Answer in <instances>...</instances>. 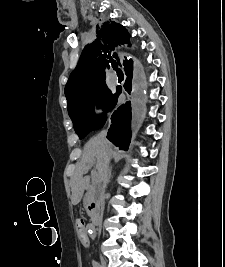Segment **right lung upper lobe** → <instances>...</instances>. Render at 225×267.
Wrapping results in <instances>:
<instances>
[{"label":"right lung upper lobe","mask_w":225,"mask_h":267,"mask_svg":"<svg viewBox=\"0 0 225 267\" xmlns=\"http://www.w3.org/2000/svg\"><path fill=\"white\" fill-rule=\"evenodd\" d=\"M122 44H129L127 30L115 22H104L97 31V39L84 48L77 67L68 79L65 86L68 104L79 99L91 87L105 84L110 64L113 66L117 60L121 65L120 60L123 61ZM127 65L128 62L123 61V66Z\"/></svg>","instance_id":"1"}]
</instances>
